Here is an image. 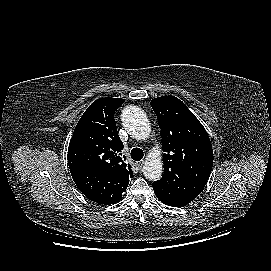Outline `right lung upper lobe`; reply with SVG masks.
Masks as SVG:
<instances>
[{
  "label": "right lung upper lobe",
  "mask_w": 271,
  "mask_h": 271,
  "mask_svg": "<svg viewBox=\"0 0 271 271\" xmlns=\"http://www.w3.org/2000/svg\"><path fill=\"white\" fill-rule=\"evenodd\" d=\"M124 103L120 98H99L86 109L80 118L68 147L70 169H92L121 177L129 183L133 172L121 152L114 113Z\"/></svg>",
  "instance_id": "right-lung-upper-lobe-1"
}]
</instances>
